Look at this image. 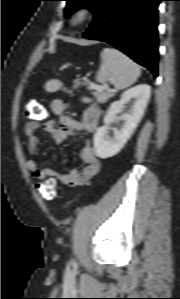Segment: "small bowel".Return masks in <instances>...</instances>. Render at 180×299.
Returning <instances> with one entry per match:
<instances>
[{
    "mask_svg": "<svg viewBox=\"0 0 180 299\" xmlns=\"http://www.w3.org/2000/svg\"><path fill=\"white\" fill-rule=\"evenodd\" d=\"M85 101H88V99H85ZM65 109V101L61 98H55L51 102V110L57 117V122L54 120L44 122L30 120L26 123L25 134L28 137V151L30 154L35 155L38 152L39 138L36 131L40 128L49 133L57 145L72 138L77 132L91 134L96 130L99 122V111L96 108L87 109L80 120L68 115ZM80 158L84 164L82 169L73 168L65 173H60L50 167H39L33 160L27 162V167L37 179L51 177L71 187L81 186L88 183L99 172L101 161L90 145L82 147Z\"/></svg>",
    "mask_w": 180,
    "mask_h": 299,
    "instance_id": "c3829d8e",
    "label": "small bowel"
}]
</instances>
